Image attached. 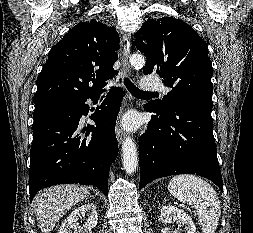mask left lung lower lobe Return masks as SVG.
<instances>
[{
	"label": "left lung lower lobe",
	"instance_id": "obj_1",
	"mask_svg": "<svg viewBox=\"0 0 253 233\" xmlns=\"http://www.w3.org/2000/svg\"><path fill=\"white\" fill-rule=\"evenodd\" d=\"M144 110L154 115L139 140V190L160 177L198 174L223 191L213 136L212 104L190 101L160 113L148 103Z\"/></svg>",
	"mask_w": 253,
	"mask_h": 233
}]
</instances>
